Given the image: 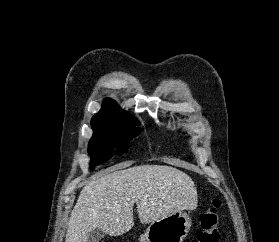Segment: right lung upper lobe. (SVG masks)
I'll list each match as a JSON object with an SVG mask.
<instances>
[{
	"instance_id": "1",
	"label": "right lung upper lobe",
	"mask_w": 279,
	"mask_h": 242,
	"mask_svg": "<svg viewBox=\"0 0 279 242\" xmlns=\"http://www.w3.org/2000/svg\"><path fill=\"white\" fill-rule=\"evenodd\" d=\"M108 122L115 125H136V120L133 116L123 111L116 102L111 99H105L102 104V109L95 114L91 123Z\"/></svg>"
}]
</instances>
